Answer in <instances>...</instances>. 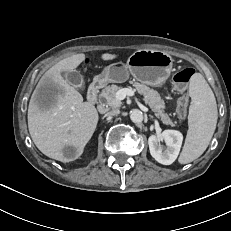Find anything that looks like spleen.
<instances>
[{
  "instance_id": "1",
  "label": "spleen",
  "mask_w": 231,
  "mask_h": 231,
  "mask_svg": "<svg viewBox=\"0 0 231 231\" xmlns=\"http://www.w3.org/2000/svg\"><path fill=\"white\" fill-rule=\"evenodd\" d=\"M189 95L191 97L189 129L179 156L180 164L190 163L204 153L211 141L218 118L215 96L200 73L192 76Z\"/></svg>"
}]
</instances>
